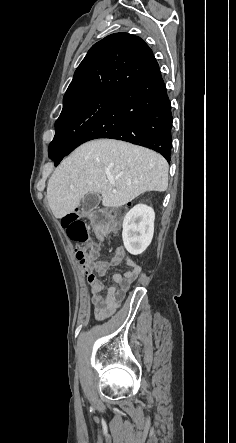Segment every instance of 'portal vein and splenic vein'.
<instances>
[{"label": "portal vein and splenic vein", "instance_id": "18ae733b", "mask_svg": "<svg viewBox=\"0 0 236 443\" xmlns=\"http://www.w3.org/2000/svg\"><path fill=\"white\" fill-rule=\"evenodd\" d=\"M109 182H110L112 185L115 184V181H114L113 178H109Z\"/></svg>", "mask_w": 236, "mask_h": 443}]
</instances>
